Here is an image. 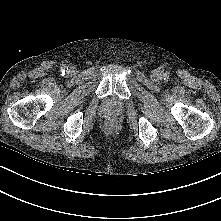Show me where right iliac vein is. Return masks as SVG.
Instances as JSON below:
<instances>
[{"mask_svg":"<svg viewBox=\"0 0 221 221\" xmlns=\"http://www.w3.org/2000/svg\"><path fill=\"white\" fill-rule=\"evenodd\" d=\"M69 72H70V73H74V72H75L74 67H70V68H69Z\"/></svg>","mask_w":221,"mask_h":221,"instance_id":"63e3f726","label":"right iliac vein"}]
</instances>
